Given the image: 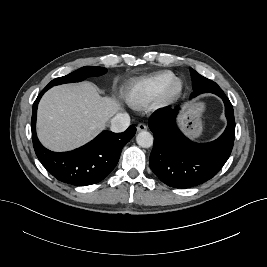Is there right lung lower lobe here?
Returning a JSON list of instances; mask_svg holds the SVG:
<instances>
[{"instance_id": "1", "label": "right lung lower lobe", "mask_w": 267, "mask_h": 267, "mask_svg": "<svg viewBox=\"0 0 267 267\" xmlns=\"http://www.w3.org/2000/svg\"><path fill=\"white\" fill-rule=\"evenodd\" d=\"M46 86L33 104L31 130L35 153L42 165L56 179L75 186H86L102 181L118 163L123 146L135 135L130 126L123 133L103 131L86 145L69 152H52L39 142L36 135L37 106Z\"/></svg>"}]
</instances>
